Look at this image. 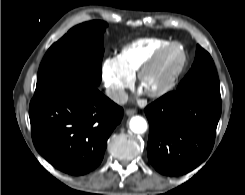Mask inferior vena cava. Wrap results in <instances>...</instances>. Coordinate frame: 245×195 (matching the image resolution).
I'll return each mask as SVG.
<instances>
[{
	"label": "inferior vena cava",
	"mask_w": 245,
	"mask_h": 195,
	"mask_svg": "<svg viewBox=\"0 0 245 195\" xmlns=\"http://www.w3.org/2000/svg\"><path fill=\"white\" fill-rule=\"evenodd\" d=\"M106 95L117 104L122 105L128 101V94L122 89H107Z\"/></svg>",
	"instance_id": "obj_1"
}]
</instances>
